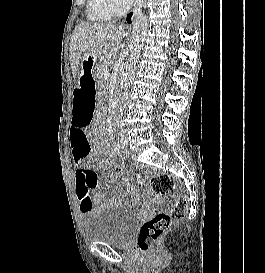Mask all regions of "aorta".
<instances>
[{"label":"aorta","instance_id":"1","mask_svg":"<svg viewBox=\"0 0 265 273\" xmlns=\"http://www.w3.org/2000/svg\"><path fill=\"white\" fill-rule=\"evenodd\" d=\"M148 31V19L147 16L140 13L137 15L133 22L132 42H131V55L130 61L126 69L122 73L121 87L126 89L134 79L136 63L140 57L141 50ZM121 117L117 118L120 121Z\"/></svg>","mask_w":265,"mask_h":273}]
</instances>
